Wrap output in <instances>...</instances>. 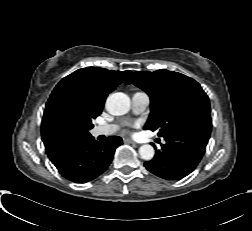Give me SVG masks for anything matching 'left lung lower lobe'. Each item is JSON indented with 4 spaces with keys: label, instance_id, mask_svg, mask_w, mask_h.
<instances>
[{
    "label": "left lung lower lobe",
    "instance_id": "0a47b994",
    "mask_svg": "<svg viewBox=\"0 0 252 231\" xmlns=\"http://www.w3.org/2000/svg\"><path fill=\"white\" fill-rule=\"evenodd\" d=\"M210 132L199 128L173 131L164 137L165 144L157 150L145 167L153 174L167 180L181 179L190 174L206 150Z\"/></svg>",
    "mask_w": 252,
    "mask_h": 231
}]
</instances>
